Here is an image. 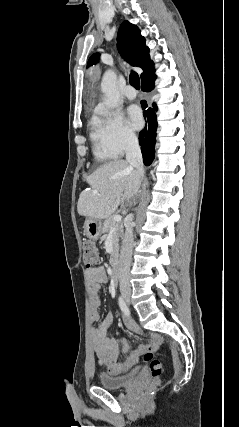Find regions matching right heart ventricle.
<instances>
[{
    "mask_svg": "<svg viewBox=\"0 0 239 427\" xmlns=\"http://www.w3.org/2000/svg\"><path fill=\"white\" fill-rule=\"evenodd\" d=\"M90 138L93 145V154L97 160L107 161L116 157L105 140L97 118H94L91 122Z\"/></svg>",
    "mask_w": 239,
    "mask_h": 427,
    "instance_id": "1",
    "label": "right heart ventricle"
}]
</instances>
